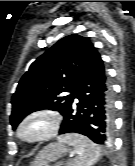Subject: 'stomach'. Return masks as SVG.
Instances as JSON below:
<instances>
[{"instance_id":"obj_1","label":"stomach","mask_w":135,"mask_h":166,"mask_svg":"<svg viewBox=\"0 0 135 166\" xmlns=\"http://www.w3.org/2000/svg\"><path fill=\"white\" fill-rule=\"evenodd\" d=\"M68 149L61 142L50 143L45 146L36 156L31 166H50V163L57 161L66 155ZM67 166H71V163Z\"/></svg>"}]
</instances>
